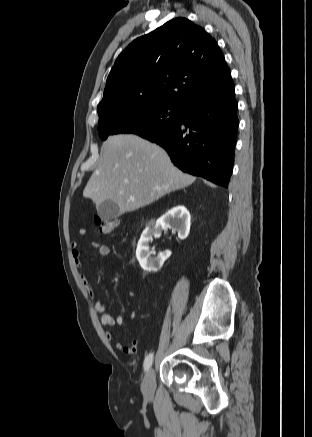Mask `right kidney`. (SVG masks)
Listing matches in <instances>:
<instances>
[{"mask_svg": "<svg viewBox=\"0 0 312 437\" xmlns=\"http://www.w3.org/2000/svg\"><path fill=\"white\" fill-rule=\"evenodd\" d=\"M190 220L189 211L184 206H176L159 218L154 225H149L143 231L136 249V257L143 270L158 271L171 254L170 251H167L157 257H151L149 242L152 241V236L160 235L163 229L172 228L178 232V237L183 240L189 234Z\"/></svg>", "mask_w": 312, "mask_h": 437, "instance_id": "ca27d5eb", "label": "right kidney"}]
</instances>
